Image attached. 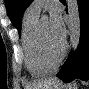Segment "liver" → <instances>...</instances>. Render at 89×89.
Masks as SVG:
<instances>
[{
  "label": "liver",
  "mask_w": 89,
  "mask_h": 89,
  "mask_svg": "<svg viewBox=\"0 0 89 89\" xmlns=\"http://www.w3.org/2000/svg\"><path fill=\"white\" fill-rule=\"evenodd\" d=\"M57 84H60L57 79L38 80L30 83L26 89H51Z\"/></svg>",
  "instance_id": "liver-1"
}]
</instances>
